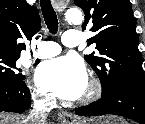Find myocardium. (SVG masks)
Returning a JSON list of instances; mask_svg holds the SVG:
<instances>
[{
    "instance_id": "myocardium-1",
    "label": "myocardium",
    "mask_w": 145,
    "mask_h": 124,
    "mask_svg": "<svg viewBox=\"0 0 145 124\" xmlns=\"http://www.w3.org/2000/svg\"><path fill=\"white\" fill-rule=\"evenodd\" d=\"M87 85L88 91L79 100L80 104H89L97 100L102 94V83L98 78H91Z\"/></svg>"
}]
</instances>
